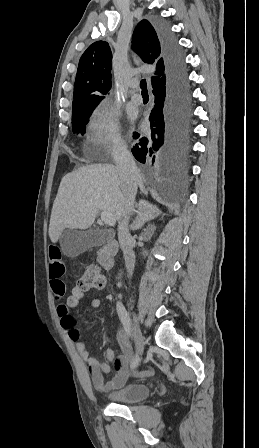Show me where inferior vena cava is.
<instances>
[{
    "label": "inferior vena cava",
    "instance_id": "1",
    "mask_svg": "<svg viewBox=\"0 0 259 448\" xmlns=\"http://www.w3.org/2000/svg\"><path fill=\"white\" fill-rule=\"evenodd\" d=\"M116 168H118L121 186L123 188L125 202V214L123 220L119 222L118 226V240L121 250H123L125 258V266L131 276L135 266V254L132 250L134 240L129 234L128 220L131 212L134 210L135 196L137 194V186L140 180L138 168L131 156L126 144H119L113 156Z\"/></svg>",
    "mask_w": 259,
    "mask_h": 448
}]
</instances>
